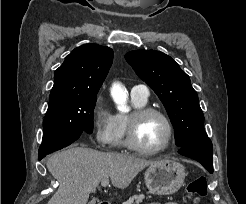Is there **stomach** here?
Returning <instances> with one entry per match:
<instances>
[{"instance_id": "0dacf381", "label": "stomach", "mask_w": 246, "mask_h": 204, "mask_svg": "<svg viewBox=\"0 0 246 204\" xmlns=\"http://www.w3.org/2000/svg\"><path fill=\"white\" fill-rule=\"evenodd\" d=\"M185 168L173 160H160L151 164L144 174L145 184L151 193L171 195L184 183Z\"/></svg>"}]
</instances>
